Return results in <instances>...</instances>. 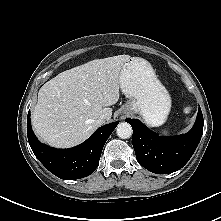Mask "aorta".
Returning a JSON list of instances; mask_svg holds the SVG:
<instances>
[{
	"mask_svg": "<svg viewBox=\"0 0 221 221\" xmlns=\"http://www.w3.org/2000/svg\"><path fill=\"white\" fill-rule=\"evenodd\" d=\"M132 127L127 122H121L116 128V133L121 139H128L132 136Z\"/></svg>",
	"mask_w": 221,
	"mask_h": 221,
	"instance_id": "762f6f07",
	"label": "aorta"
}]
</instances>
